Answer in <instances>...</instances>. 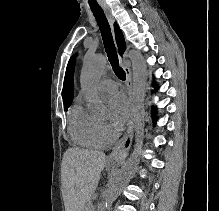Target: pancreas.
Segmentation results:
<instances>
[{"instance_id":"pancreas-1","label":"pancreas","mask_w":219,"mask_h":211,"mask_svg":"<svg viewBox=\"0 0 219 211\" xmlns=\"http://www.w3.org/2000/svg\"><path fill=\"white\" fill-rule=\"evenodd\" d=\"M97 203V200H87L86 204L88 211H96L95 205H97Z\"/></svg>"}]
</instances>
